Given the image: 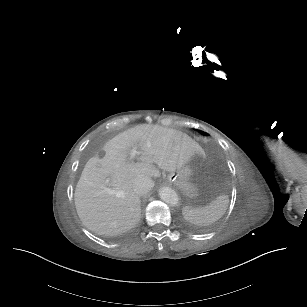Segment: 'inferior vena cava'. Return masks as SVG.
I'll list each match as a JSON object with an SVG mask.
<instances>
[{"label": "inferior vena cava", "instance_id": "1", "mask_svg": "<svg viewBox=\"0 0 307 307\" xmlns=\"http://www.w3.org/2000/svg\"><path fill=\"white\" fill-rule=\"evenodd\" d=\"M154 187V181L148 177L140 175L133 182V191L137 195H145Z\"/></svg>", "mask_w": 307, "mask_h": 307}]
</instances>
